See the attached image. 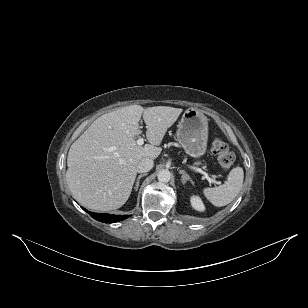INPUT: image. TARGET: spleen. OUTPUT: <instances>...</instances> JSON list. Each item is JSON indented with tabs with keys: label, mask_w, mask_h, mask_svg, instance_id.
Segmentation results:
<instances>
[{
	"label": "spleen",
	"mask_w": 308,
	"mask_h": 308,
	"mask_svg": "<svg viewBox=\"0 0 308 308\" xmlns=\"http://www.w3.org/2000/svg\"><path fill=\"white\" fill-rule=\"evenodd\" d=\"M244 172L241 167L233 168L223 185L214 188H204L205 197L217 207L226 206L232 202L242 189Z\"/></svg>",
	"instance_id": "1"
}]
</instances>
